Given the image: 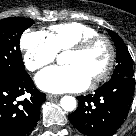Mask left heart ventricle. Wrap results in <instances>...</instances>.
<instances>
[{"label": "left heart ventricle", "mask_w": 136, "mask_h": 136, "mask_svg": "<svg viewBox=\"0 0 136 136\" xmlns=\"http://www.w3.org/2000/svg\"><path fill=\"white\" fill-rule=\"evenodd\" d=\"M109 59L108 46L98 41L82 53H66L65 63L77 66L91 81L105 68Z\"/></svg>", "instance_id": "obj_1"}]
</instances>
